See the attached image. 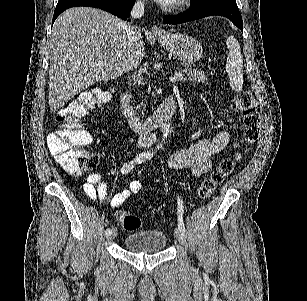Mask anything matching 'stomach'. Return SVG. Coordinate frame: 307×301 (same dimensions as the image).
Returning a JSON list of instances; mask_svg holds the SVG:
<instances>
[{
  "label": "stomach",
  "mask_w": 307,
  "mask_h": 301,
  "mask_svg": "<svg viewBox=\"0 0 307 301\" xmlns=\"http://www.w3.org/2000/svg\"><path fill=\"white\" fill-rule=\"evenodd\" d=\"M156 40L164 46L174 58L182 60L184 64H194L203 54V48L196 38L183 32H158Z\"/></svg>",
  "instance_id": "stomach-1"
}]
</instances>
